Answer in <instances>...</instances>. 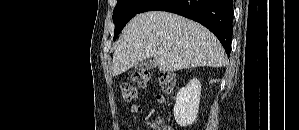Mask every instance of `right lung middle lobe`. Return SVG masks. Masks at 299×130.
Segmentation results:
<instances>
[{
  "mask_svg": "<svg viewBox=\"0 0 299 130\" xmlns=\"http://www.w3.org/2000/svg\"><path fill=\"white\" fill-rule=\"evenodd\" d=\"M148 0H117L113 11L115 24L114 40L122 31L127 22L134 17Z\"/></svg>",
  "mask_w": 299,
  "mask_h": 130,
  "instance_id": "dd1d6c3e",
  "label": "right lung middle lobe"
}]
</instances>
